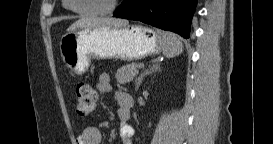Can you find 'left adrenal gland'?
<instances>
[{
    "label": "left adrenal gland",
    "mask_w": 273,
    "mask_h": 144,
    "mask_svg": "<svg viewBox=\"0 0 273 144\" xmlns=\"http://www.w3.org/2000/svg\"><path fill=\"white\" fill-rule=\"evenodd\" d=\"M160 70V63H157L154 61L152 65H150L143 73L140 74V76L135 80V90H138L140 85L142 84L143 78L149 74H152L156 71Z\"/></svg>",
    "instance_id": "left-adrenal-gland-1"
}]
</instances>
